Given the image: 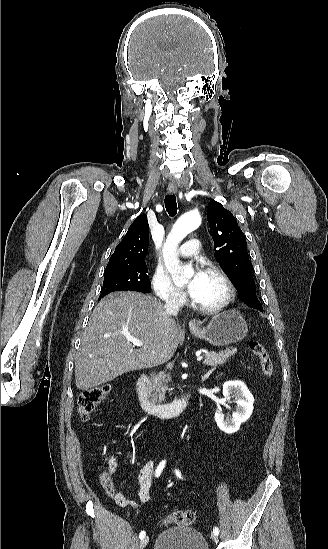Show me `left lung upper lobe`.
Returning <instances> with one entry per match:
<instances>
[{"mask_svg":"<svg viewBox=\"0 0 328 549\" xmlns=\"http://www.w3.org/2000/svg\"><path fill=\"white\" fill-rule=\"evenodd\" d=\"M207 219L216 250V260L242 300L248 306L259 303L246 239L233 214L222 204L211 201L208 204Z\"/></svg>","mask_w":328,"mask_h":549,"instance_id":"5c2ea615","label":"left lung upper lobe"}]
</instances>
